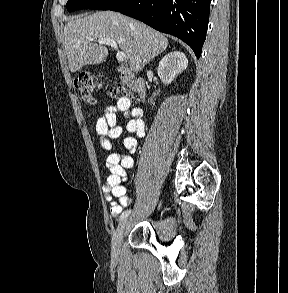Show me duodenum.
Returning <instances> with one entry per match:
<instances>
[{"label": "duodenum", "mask_w": 288, "mask_h": 293, "mask_svg": "<svg viewBox=\"0 0 288 293\" xmlns=\"http://www.w3.org/2000/svg\"><path fill=\"white\" fill-rule=\"evenodd\" d=\"M120 72L121 80L125 84H128L140 98L145 97L146 85L143 79L136 78L134 74L126 67H120L118 69Z\"/></svg>", "instance_id": "obj_1"}]
</instances>
